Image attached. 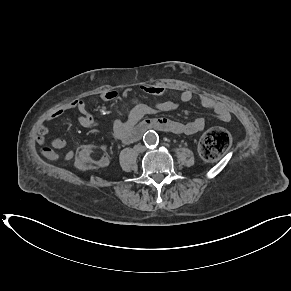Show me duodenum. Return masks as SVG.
I'll list each match as a JSON object with an SVG mask.
<instances>
[{"label": "duodenum", "mask_w": 291, "mask_h": 291, "mask_svg": "<svg viewBox=\"0 0 291 291\" xmlns=\"http://www.w3.org/2000/svg\"><path fill=\"white\" fill-rule=\"evenodd\" d=\"M150 129H151L150 127H147V129H146V130L148 131V130H150Z\"/></svg>", "instance_id": "1"}]
</instances>
